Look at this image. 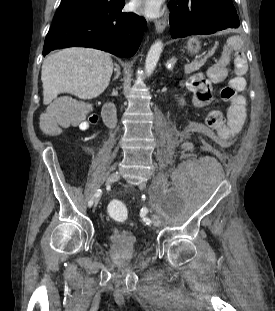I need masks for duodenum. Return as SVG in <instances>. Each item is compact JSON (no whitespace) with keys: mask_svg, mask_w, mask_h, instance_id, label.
<instances>
[{"mask_svg":"<svg viewBox=\"0 0 275 311\" xmlns=\"http://www.w3.org/2000/svg\"><path fill=\"white\" fill-rule=\"evenodd\" d=\"M102 117L106 126L113 127L116 123V106L111 102L106 103L102 109Z\"/></svg>","mask_w":275,"mask_h":311,"instance_id":"duodenum-1","label":"duodenum"}]
</instances>
